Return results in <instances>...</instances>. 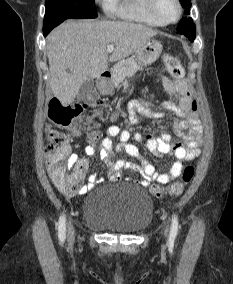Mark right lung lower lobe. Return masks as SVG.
I'll list each match as a JSON object with an SVG mask.
<instances>
[{"mask_svg": "<svg viewBox=\"0 0 233 284\" xmlns=\"http://www.w3.org/2000/svg\"><path fill=\"white\" fill-rule=\"evenodd\" d=\"M51 30H52V29H45V30H43L44 36H46Z\"/></svg>", "mask_w": 233, "mask_h": 284, "instance_id": "obj_1", "label": "right lung lower lobe"}]
</instances>
